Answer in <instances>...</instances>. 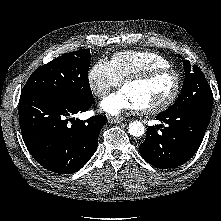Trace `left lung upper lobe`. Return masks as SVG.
I'll list each match as a JSON object with an SVG mask.
<instances>
[{
    "label": "left lung upper lobe",
    "instance_id": "left-lung-upper-lobe-1",
    "mask_svg": "<svg viewBox=\"0 0 221 221\" xmlns=\"http://www.w3.org/2000/svg\"><path fill=\"white\" fill-rule=\"evenodd\" d=\"M184 68L186 76L181 94L165 112H178L198 106L212 108L213 94L202 71L188 60L184 61Z\"/></svg>",
    "mask_w": 221,
    "mask_h": 221
}]
</instances>
